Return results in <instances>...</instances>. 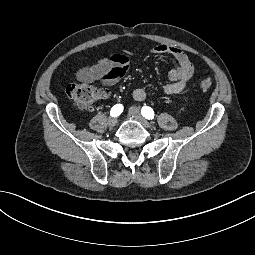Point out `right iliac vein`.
<instances>
[{
	"mask_svg": "<svg viewBox=\"0 0 255 255\" xmlns=\"http://www.w3.org/2000/svg\"><path fill=\"white\" fill-rule=\"evenodd\" d=\"M116 123H117V119H116L115 117H110V118L108 119V125H109L110 127H114V126L116 125Z\"/></svg>",
	"mask_w": 255,
	"mask_h": 255,
	"instance_id": "63e3f726",
	"label": "right iliac vein"
}]
</instances>
